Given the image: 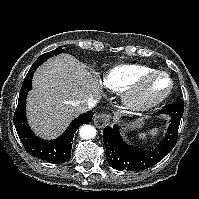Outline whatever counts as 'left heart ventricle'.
<instances>
[{
  "label": "left heart ventricle",
  "instance_id": "left-heart-ventricle-1",
  "mask_svg": "<svg viewBox=\"0 0 199 199\" xmlns=\"http://www.w3.org/2000/svg\"><path fill=\"white\" fill-rule=\"evenodd\" d=\"M169 81L164 77L155 78L149 85V92L152 95H159L167 90Z\"/></svg>",
  "mask_w": 199,
  "mask_h": 199
}]
</instances>
